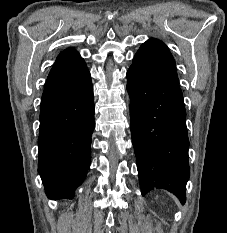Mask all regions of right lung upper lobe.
I'll use <instances>...</instances> for the list:
<instances>
[{
	"instance_id": "right-lung-upper-lobe-1",
	"label": "right lung upper lobe",
	"mask_w": 227,
	"mask_h": 233,
	"mask_svg": "<svg viewBox=\"0 0 227 233\" xmlns=\"http://www.w3.org/2000/svg\"><path fill=\"white\" fill-rule=\"evenodd\" d=\"M90 80V73L80 54L72 48L62 51L45 83L41 107L57 101Z\"/></svg>"
}]
</instances>
